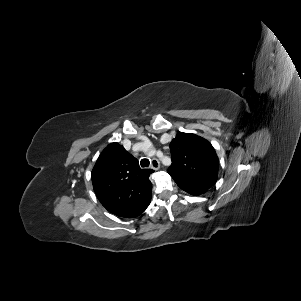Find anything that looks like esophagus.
Returning <instances> with one entry per match:
<instances>
[{"label":"esophagus","mask_w":301,"mask_h":301,"mask_svg":"<svg viewBox=\"0 0 301 301\" xmlns=\"http://www.w3.org/2000/svg\"><path fill=\"white\" fill-rule=\"evenodd\" d=\"M151 168L154 169V170H158L160 168V162H159L158 159L153 158L151 160Z\"/></svg>","instance_id":"esophagus-1"}]
</instances>
